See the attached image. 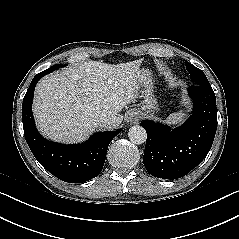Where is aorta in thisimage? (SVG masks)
Returning a JSON list of instances; mask_svg holds the SVG:
<instances>
[{
  "instance_id": "1",
  "label": "aorta",
  "mask_w": 239,
  "mask_h": 239,
  "mask_svg": "<svg viewBox=\"0 0 239 239\" xmlns=\"http://www.w3.org/2000/svg\"><path fill=\"white\" fill-rule=\"evenodd\" d=\"M128 137L132 143L139 145L146 141L147 133L142 126L136 125L129 129Z\"/></svg>"
}]
</instances>
